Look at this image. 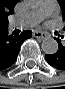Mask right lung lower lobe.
<instances>
[{
  "mask_svg": "<svg viewBox=\"0 0 65 89\" xmlns=\"http://www.w3.org/2000/svg\"><path fill=\"white\" fill-rule=\"evenodd\" d=\"M32 36L31 31L8 35L7 27L0 28V70L10 67L17 59L21 44Z\"/></svg>",
  "mask_w": 65,
  "mask_h": 89,
  "instance_id": "1",
  "label": "right lung lower lobe"
}]
</instances>
